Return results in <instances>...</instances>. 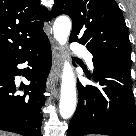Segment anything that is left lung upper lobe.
Here are the masks:
<instances>
[{"mask_svg":"<svg viewBox=\"0 0 136 136\" xmlns=\"http://www.w3.org/2000/svg\"><path fill=\"white\" fill-rule=\"evenodd\" d=\"M52 14L70 16V41L85 45L96 59L131 67L128 29L114 0H55Z\"/></svg>","mask_w":136,"mask_h":136,"instance_id":"5c2ea615","label":"left lung upper lobe"}]
</instances>
